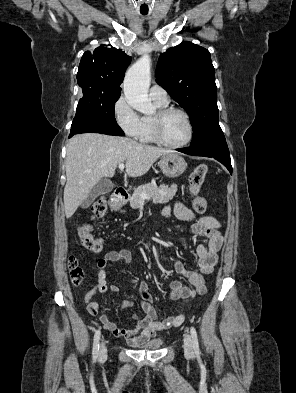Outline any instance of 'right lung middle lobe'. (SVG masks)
Returning a JSON list of instances; mask_svg holds the SVG:
<instances>
[{
    "instance_id": "1",
    "label": "right lung middle lobe",
    "mask_w": 296,
    "mask_h": 393,
    "mask_svg": "<svg viewBox=\"0 0 296 393\" xmlns=\"http://www.w3.org/2000/svg\"><path fill=\"white\" fill-rule=\"evenodd\" d=\"M119 97L120 93L109 95L84 94L79 100L76 113L92 114L107 121L116 123L114 108L115 102L119 99Z\"/></svg>"
}]
</instances>
